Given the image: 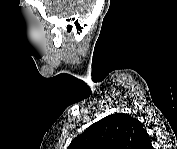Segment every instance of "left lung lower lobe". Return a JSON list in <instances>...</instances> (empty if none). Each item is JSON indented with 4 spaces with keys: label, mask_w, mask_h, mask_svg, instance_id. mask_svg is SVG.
Masks as SVG:
<instances>
[{
    "label": "left lung lower lobe",
    "mask_w": 177,
    "mask_h": 149,
    "mask_svg": "<svg viewBox=\"0 0 177 149\" xmlns=\"http://www.w3.org/2000/svg\"><path fill=\"white\" fill-rule=\"evenodd\" d=\"M146 141H148V143H149V145H147V147H146V148H147V149L152 148V145H151V139H150L149 135L147 136Z\"/></svg>",
    "instance_id": "0a47b994"
}]
</instances>
